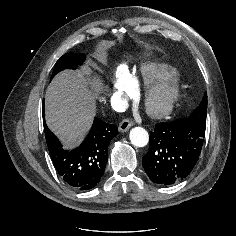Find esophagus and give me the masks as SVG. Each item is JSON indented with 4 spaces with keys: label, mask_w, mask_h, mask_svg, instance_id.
Masks as SVG:
<instances>
[{
    "label": "esophagus",
    "mask_w": 236,
    "mask_h": 236,
    "mask_svg": "<svg viewBox=\"0 0 236 236\" xmlns=\"http://www.w3.org/2000/svg\"><path fill=\"white\" fill-rule=\"evenodd\" d=\"M133 126V122L130 119H124L120 124H119V131L120 132H126L129 130L130 127Z\"/></svg>",
    "instance_id": "34e87169"
}]
</instances>
